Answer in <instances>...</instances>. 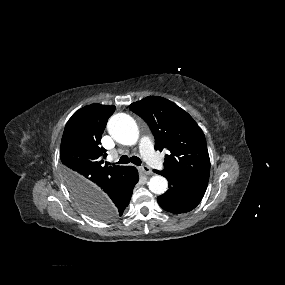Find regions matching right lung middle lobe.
Segmentation results:
<instances>
[{"mask_svg":"<svg viewBox=\"0 0 285 285\" xmlns=\"http://www.w3.org/2000/svg\"><path fill=\"white\" fill-rule=\"evenodd\" d=\"M66 180V179H65ZM67 183V180H66ZM72 193V192H71ZM73 195V193H72ZM74 196V195H73ZM75 198V196H74ZM76 199V198H75ZM77 201V200H76ZM78 202V201H77ZM80 207L91 217L98 220H111L117 217L107 206L94 207L90 204H81L78 202Z\"/></svg>","mask_w":285,"mask_h":285,"instance_id":"right-lung-middle-lobe-1","label":"right lung middle lobe"}]
</instances>
